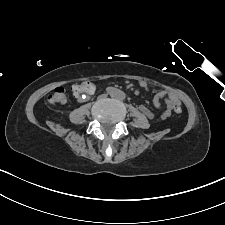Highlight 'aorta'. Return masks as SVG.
<instances>
[{
    "mask_svg": "<svg viewBox=\"0 0 225 225\" xmlns=\"http://www.w3.org/2000/svg\"><path fill=\"white\" fill-rule=\"evenodd\" d=\"M113 97L118 98V99H123V98H125V94L121 90H115L113 93Z\"/></svg>",
    "mask_w": 225,
    "mask_h": 225,
    "instance_id": "aorta-1",
    "label": "aorta"
}]
</instances>
